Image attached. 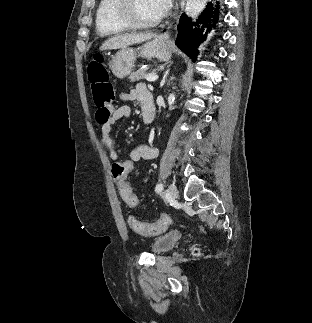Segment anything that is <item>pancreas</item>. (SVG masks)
Here are the masks:
<instances>
[{"instance_id": "1", "label": "pancreas", "mask_w": 312, "mask_h": 323, "mask_svg": "<svg viewBox=\"0 0 312 323\" xmlns=\"http://www.w3.org/2000/svg\"><path fill=\"white\" fill-rule=\"evenodd\" d=\"M149 74H146V70H137V72H132L129 76L130 82H138V80H144Z\"/></svg>"}]
</instances>
